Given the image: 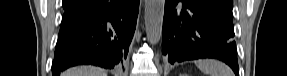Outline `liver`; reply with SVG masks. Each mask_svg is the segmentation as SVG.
I'll return each mask as SVG.
<instances>
[{
	"label": "liver",
	"mask_w": 287,
	"mask_h": 76,
	"mask_svg": "<svg viewBox=\"0 0 287 76\" xmlns=\"http://www.w3.org/2000/svg\"><path fill=\"white\" fill-rule=\"evenodd\" d=\"M64 76H107V71L94 66H78L67 70Z\"/></svg>",
	"instance_id": "1"
}]
</instances>
